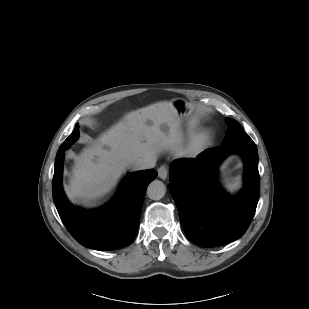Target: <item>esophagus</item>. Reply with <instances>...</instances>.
Returning <instances> with one entry per match:
<instances>
[{
  "instance_id": "1",
  "label": "esophagus",
  "mask_w": 309,
  "mask_h": 309,
  "mask_svg": "<svg viewBox=\"0 0 309 309\" xmlns=\"http://www.w3.org/2000/svg\"><path fill=\"white\" fill-rule=\"evenodd\" d=\"M159 178L165 180L168 176V168L165 165H162L158 169Z\"/></svg>"
}]
</instances>
